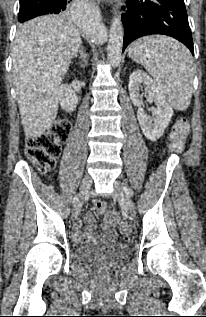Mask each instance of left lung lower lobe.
<instances>
[{
    "instance_id": "left-lung-lower-lobe-1",
    "label": "left lung lower lobe",
    "mask_w": 206,
    "mask_h": 317,
    "mask_svg": "<svg viewBox=\"0 0 206 317\" xmlns=\"http://www.w3.org/2000/svg\"><path fill=\"white\" fill-rule=\"evenodd\" d=\"M123 8V51L139 37L163 34L182 42L194 55L184 0H127Z\"/></svg>"
}]
</instances>
